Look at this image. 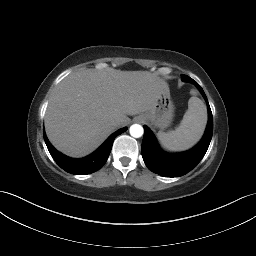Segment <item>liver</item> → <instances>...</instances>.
<instances>
[{
    "label": "liver",
    "instance_id": "1",
    "mask_svg": "<svg viewBox=\"0 0 256 256\" xmlns=\"http://www.w3.org/2000/svg\"><path fill=\"white\" fill-rule=\"evenodd\" d=\"M167 83L148 71L80 70L54 89L45 115V130L56 149L70 157L93 152L127 115L148 111ZM119 125H113L114 121Z\"/></svg>",
    "mask_w": 256,
    "mask_h": 256
}]
</instances>
